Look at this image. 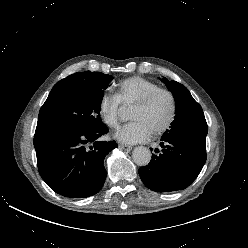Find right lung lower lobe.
Listing matches in <instances>:
<instances>
[{"instance_id":"obj_1","label":"right lung lower lobe","mask_w":248,"mask_h":248,"mask_svg":"<svg viewBox=\"0 0 248 248\" xmlns=\"http://www.w3.org/2000/svg\"><path fill=\"white\" fill-rule=\"evenodd\" d=\"M108 131L106 125L99 129L37 127L34 147L42 179L65 197L98 193L106 179L103 160L118 147L115 141H100Z\"/></svg>"}]
</instances>
